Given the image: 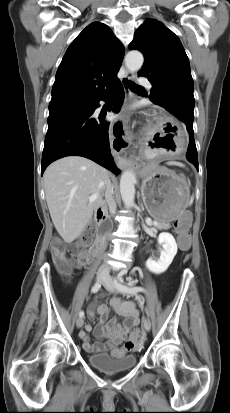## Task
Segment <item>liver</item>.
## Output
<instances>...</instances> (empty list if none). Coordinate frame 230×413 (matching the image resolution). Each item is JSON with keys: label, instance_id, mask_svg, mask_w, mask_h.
Returning a JSON list of instances; mask_svg holds the SVG:
<instances>
[{"label": "liver", "instance_id": "6515ba94", "mask_svg": "<svg viewBox=\"0 0 230 413\" xmlns=\"http://www.w3.org/2000/svg\"><path fill=\"white\" fill-rule=\"evenodd\" d=\"M109 172L90 159L67 156L50 164L44 173V190L52 222L66 243L78 238L104 204ZM97 193L95 200L89 197Z\"/></svg>", "mask_w": 230, "mask_h": 413}]
</instances>
